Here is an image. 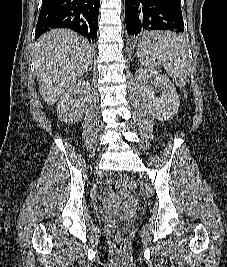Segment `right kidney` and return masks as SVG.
<instances>
[{"instance_id":"ca27d5eb","label":"right kidney","mask_w":227,"mask_h":267,"mask_svg":"<svg viewBox=\"0 0 227 267\" xmlns=\"http://www.w3.org/2000/svg\"><path fill=\"white\" fill-rule=\"evenodd\" d=\"M90 83L79 80L73 84L60 98L57 104L58 118L65 123L79 121L90 101Z\"/></svg>"}]
</instances>
